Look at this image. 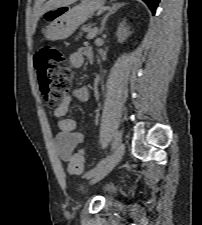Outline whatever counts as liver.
Returning a JSON list of instances; mask_svg holds the SVG:
<instances>
[{
	"label": "liver",
	"instance_id": "liver-1",
	"mask_svg": "<svg viewBox=\"0 0 202 225\" xmlns=\"http://www.w3.org/2000/svg\"><path fill=\"white\" fill-rule=\"evenodd\" d=\"M77 0H48L37 12L36 21L47 11H50L52 9H56L58 7L62 6H68L73 3H75ZM36 28V22L33 27V31H35Z\"/></svg>",
	"mask_w": 202,
	"mask_h": 225
}]
</instances>
